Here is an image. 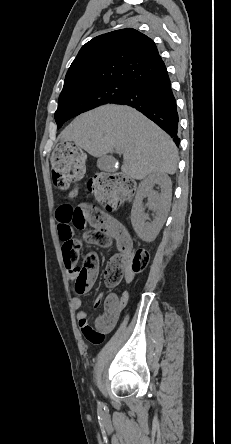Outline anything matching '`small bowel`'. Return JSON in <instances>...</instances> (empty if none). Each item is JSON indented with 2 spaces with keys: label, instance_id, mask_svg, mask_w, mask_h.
<instances>
[{
  "label": "small bowel",
  "instance_id": "1",
  "mask_svg": "<svg viewBox=\"0 0 231 444\" xmlns=\"http://www.w3.org/2000/svg\"><path fill=\"white\" fill-rule=\"evenodd\" d=\"M78 208L88 211L92 208L89 205H82ZM72 209L71 205L61 204L56 210V220L58 223V234L62 241L63 254L66 250H73L78 254L81 245L92 243L103 247L109 246L111 240H114L119 250L131 252L132 241L127 229L114 217L100 213V218L92 225L94 231L83 235L82 239L74 237L73 226L65 220L68 211ZM70 281H74L76 277V268H67ZM133 279V273L127 271L126 282ZM129 299L127 292H123L120 296L115 293L104 295L101 293L94 301V308L104 304V312L98 316L91 326L88 312L82 308V302L79 297L72 300V308L84 338L90 343L102 342L104 335L113 330L116 326L121 312L125 308Z\"/></svg>",
  "mask_w": 231,
  "mask_h": 444
}]
</instances>
